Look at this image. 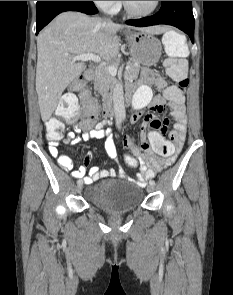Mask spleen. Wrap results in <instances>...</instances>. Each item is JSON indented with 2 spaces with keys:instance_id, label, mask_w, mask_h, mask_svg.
Segmentation results:
<instances>
[{
  "instance_id": "1",
  "label": "spleen",
  "mask_w": 233,
  "mask_h": 295,
  "mask_svg": "<svg viewBox=\"0 0 233 295\" xmlns=\"http://www.w3.org/2000/svg\"><path fill=\"white\" fill-rule=\"evenodd\" d=\"M165 51L168 56H188L189 50L185 43L173 32H168L163 37Z\"/></svg>"
}]
</instances>
